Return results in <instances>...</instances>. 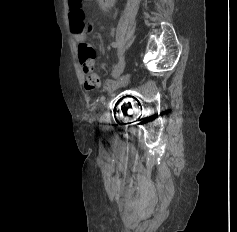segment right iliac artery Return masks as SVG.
<instances>
[{
    "label": "right iliac artery",
    "mask_w": 237,
    "mask_h": 232,
    "mask_svg": "<svg viewBox=\"0 0 237 232\" xmlns=\"http://www.w3.org/2000/svg\"><path fill=\"white\" fill-rule=\"evenodd\" d=\"M111 46H112V47H117V46H118V43H117V42H112V43H111Z\"/></svg>",
    "instance_id": "82829eb1"
}]
</instances>
